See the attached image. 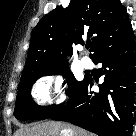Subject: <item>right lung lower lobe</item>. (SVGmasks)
I'll use <instances>...</instances> for the list:
<instances>
[{
	"mask_svg": "<svg viewBox=\"0 0 136 136\" xmlns=\"http://www.w3.org/2000/svg\"><path fill=\"white\" fill-rule=\"evenodd\" d=\"M93 61L102 63L100 91H92L94 80L86 76L67 104L50 118L99 136H132L136 118L135 36L102 49Z\"/></svg>",
	"mask_w": 136,
	"mask_h": 136,
	"instance_id": "1",
	"label": "right lung lower lobe"
}]
</instances>
